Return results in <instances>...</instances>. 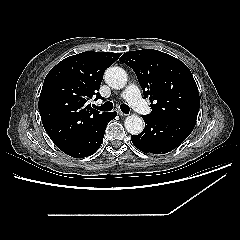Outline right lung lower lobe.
Instances as JSON below:
<instances>
[{"instance_id":"1","label":"right lung lower lobe","mask_w":240,"mask_h":240,"mask_svg":"<svg viewBox=\"0 0 240 240\" xmlns=\"http://www.w3.org/2000/svg\"><path fill=\"white\" fill-rule=\"evenodd\" d=\"M117 112H106L93 130L85 137L69 145L59 147L65 154L75 158H83L95 153L103 142L107 124L116 117Z\"/></svg>"}]
</instances>
